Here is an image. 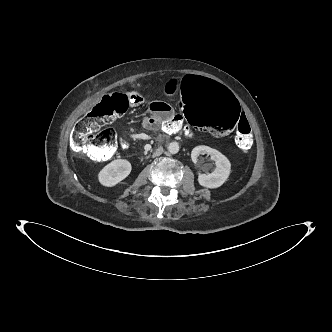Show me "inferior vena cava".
Returning <instances> with one entry per match:
<instances>
[{
    "instance_id": "1",
    "label": "inferior vena cava",
    "mask_w": 332,
    "mask_h": 332,
    "mask_svg": "<svg viewBox=\"0 0 332 332\" xmlns=\"http://www.w3.org/2000/svg\"><path fill=\"white\" fill-rule=\"evenodd\" d=\"M163 151H164L163 148L160 147L154 152L153 156L154 157L159 156L163 153Z\"/></svg>"
}]
</instances>
